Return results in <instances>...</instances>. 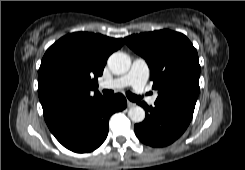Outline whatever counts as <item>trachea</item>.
I'll return each instance as SVG.
<instances>
[{
	"mask_svg": "<svg viewBox=\"0 0 245 170\" xmlns=\"http://www.w3.org/2000/svg\"><path fill=\"white\" fill-rule=\"evenodd\" d=\"M103 94L105 96H112L114 94V91L113 90H103ZM126 96L130 101H133V102L139 101L141 99L140 96H137L131 93L130 91L126 92Z\"/></svg>",
	"mask_w": 245,
	"mask_h": 170,
	"instance_id": "obj_1",
	"label": "trachea"
}]
</instances>
